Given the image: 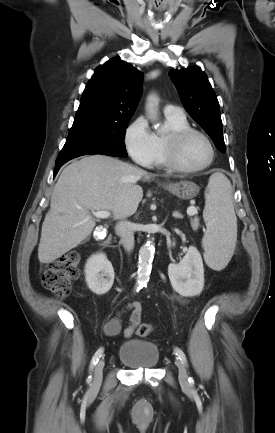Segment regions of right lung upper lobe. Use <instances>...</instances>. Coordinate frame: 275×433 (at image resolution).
I'll list each match as a JSON object with an SVG mask.
<instances>
[{"label":"right lung upper lobe","mask_w":275,"mask_h":433,"mask_svg":"<svg viewBox=\"0 0 275 433\" xmlns=\"http://www.w3.org/2000/svg\"><path fill=\"white\" fill-rule=\"evenodd\" d=\"M142 73L132 65L112 58L96 68L83 92L75 120L130 119L137 107Z\"/></svg>","instance_id":"cb5924a9"}]
</instances>
